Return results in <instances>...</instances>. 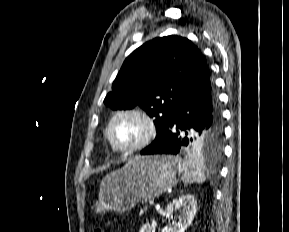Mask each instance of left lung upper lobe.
<instances>
[{"label": "left lung upper lobe", "instance_id": "1", "mask_svg": "<svg viewBox=\"0 0 289 232\" xmlns=\"http://www.w3.org/2000/svg\"><path fill=\"white\" fill-rule=\"evenodd\" d=\"M205 65L204 56L188 39L155 38L126 58L104 103L114 110L143 108L155 118L156 141L167 130L181 95ZM222 132L220 124L215 135L195 138L186 150L218 154Z\"/></svg>", "mask_w": 289, "mask_h": 232}]
</instances>
